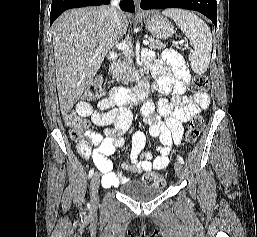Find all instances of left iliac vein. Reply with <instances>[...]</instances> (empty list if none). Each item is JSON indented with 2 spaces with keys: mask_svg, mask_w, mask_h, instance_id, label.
Listing matches in <instances>:
<instances>
[{
  "mask_svg": "<svg viewBox=\"0 0 257 237\" xmlns=\"http://www.w3.org/2000/svg\"><path fill=\"white\" fill-rule=\"evenodd\" d=\"M174 167H175V172H176L177 176L180 178H183L185 176L184 166L179 161H177V162H175Z\"/></svg>",
  "mask_w": 257,
  "mask_h": 237,
  "instance_id": "4c4485c4",
  "label": "left iliac vein"
}]
</instances>
